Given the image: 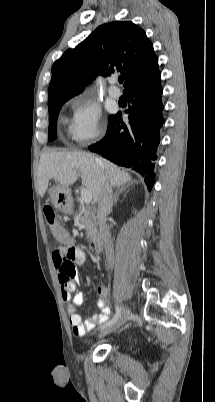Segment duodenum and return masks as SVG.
Listing matches in <instances>:
<instances>
[{
    "instance_id": "duodenum-1",
    "label": "duodenum",
    "mask_w": 215,
    "mask_h": 402,
    "mask_svg": "<svg viewBox=\"0 0 215 402\" xmlns=\"http://www.w3.org/2000/svg\"><path fill=\"white\" fill-rule=\"evenodd\" d=\"M90 246L94 252L96 253L102 252L105 247L104 239L102 237H96L92 240Z\"/></svg>"
}]
</instances>
